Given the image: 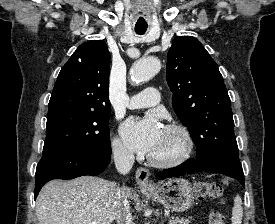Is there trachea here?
<instances>
[{
  "label": "trachea",
  "mask_w": 275,
  "mask_h": 224,
  "mask_svg": "<svg viewBox=\"0 0 275 224\" xmlns=\"http://www.w3.org/2000/svg\"><path fill=\"white\" fill-rule=\"evenodd\" d=\"M147 25H136L135 26V32L139 35H142L146 32Z\"/></svg>",
  "instance_id": "1"
}]
</instances>
